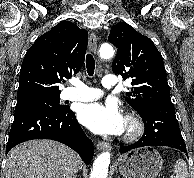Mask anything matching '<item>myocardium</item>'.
I'll list each match as a JSON object with an SVG mask.
<instances>
[{"label":"myocardium","instance_id":"f54148a6","mask_svg":"<svg viewBox=\"0 0 194 178\" xmlns=\"http://www.w3.org/2000/svg\"><path fill=\"white\" fill-rule=\"evenodd\" d=\"M126 129L122 139L125 142L137 140L144 131V124L141 118L133 113H129L125 117Z\"/></svg>","mask_w":194,"mask_h":178}]
</instances>
